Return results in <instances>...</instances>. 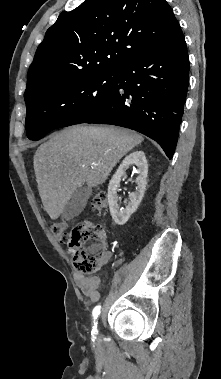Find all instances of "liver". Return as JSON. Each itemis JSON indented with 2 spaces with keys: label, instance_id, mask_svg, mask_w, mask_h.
<instances>
[{
  "label": "liver",
  "instance_id": "liver-1",
  "mask_svg": "<svg viewBox=\"0 0 221 379\" xmlns=\"http://www.w3.org/2000/svg\"><path fill=\"white\" fill-rule=\"evenodd\" d=\"M144 138L117 127L74 126L41 144L34 171L44 209L57 219L77 188L103 184L119 160Z\"/></svg>",
  "mask_w": 221,
  "mask_h": 379
}]
</instances>
